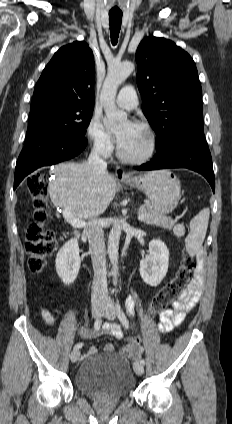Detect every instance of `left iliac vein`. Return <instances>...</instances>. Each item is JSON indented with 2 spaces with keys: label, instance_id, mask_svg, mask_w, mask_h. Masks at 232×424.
Segmentation results:
<instances>
[{
  "label": "left iliac vein",
  "instance_id": "obj_1",
  "mask_svg": "<svg viewBox=\"0 0 232 424\" xmlns=\"http://www.w3.org/2000/svg\"><path fill=\"white\" fill-rule=\"evenodd\" d=\"M102 315L109 320L115 319L116 309L110 299L105 303ZM133 368L135 373L139 376L144 373V366L139 362H135Z\"/></svg>",
  "mask_w": 232,
  "mask_h": 424
}]
</instances>
